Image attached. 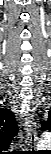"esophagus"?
<instances>
[{
	"mask_svg": "<svg viewBox=\"0 0 51 154\" xmlns=\"http://www.w3.org/2000/svg\"><path fill=\"white\" fill-rule=\"evenodd\" d=\"M28 145L34 146L36 144L35 131L30 127L27 128Z\"/></svg>",
	"mask_w": 51,
	"mask_h": 154,
	"instance_id": "1",
	"label": "esophagus"
}]
</instances>
